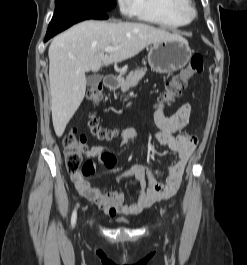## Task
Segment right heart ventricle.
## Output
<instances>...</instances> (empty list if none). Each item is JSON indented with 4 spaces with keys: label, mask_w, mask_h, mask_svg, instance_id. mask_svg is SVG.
Listing matches in <instances>:
<instances>
[{
    "label": "right heart ventricle",
    "mask_w": 247,
    "mask_h": 265,
    "mask_svg": "<svg viewBox=\"0 0 247 265\" xmlns=\"http://www.w3.org/2000/svg\"><path fill=\"white\" fill-rule=\"evenodd\" d=\"M186 0H137L135 16L167 28H179L189 20L181 13Z\"/></svg>",
    "instance_id": "right-heart-ventricle-1"
}]
</instances>
